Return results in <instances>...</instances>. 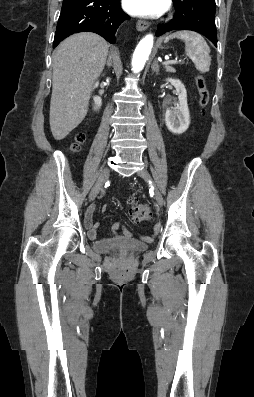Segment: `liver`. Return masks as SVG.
<instances>
[{"label":"liver","mask_w":254,"mask_h":397,"mask_svg":"<svg viewBox=\"0 0 254 397\" xmlns=\"http://www.w3.org/2000/svg\"><path fill=\"white\" fill-rule=\"evenodd\" d=\"M108 43L90 32L74 34L53 52L50 128L62 140L85 118L91 88L105 66Z\"/></svg>","instance_id":"1"}]
</instances>
